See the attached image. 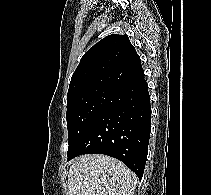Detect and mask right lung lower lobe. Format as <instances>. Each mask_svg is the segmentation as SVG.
Segmentation results:
<instances>
[{
    "mask_svg": "<svg viewBox=\"0 0 211 195\" xmlns=\"http://www.w3.org/2000/svg\"><path fill=\"white\" fill-rule=\"evenodd\" d=\"M151 130V106L144 77L112 90L109 99L75 145L68 160L81 154H105L142 178Z\"/></svg>",
    "mask_w": 211,
    "mask_h": 195,
    "instance_id": "1",
    "label": "right lung lower lobe"
}]
</instances>
